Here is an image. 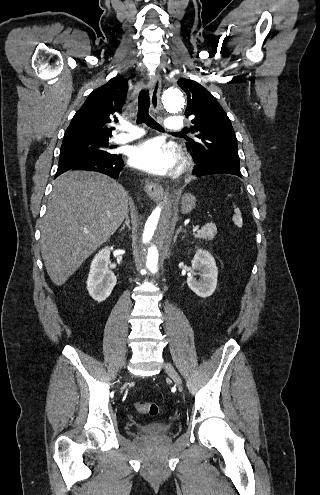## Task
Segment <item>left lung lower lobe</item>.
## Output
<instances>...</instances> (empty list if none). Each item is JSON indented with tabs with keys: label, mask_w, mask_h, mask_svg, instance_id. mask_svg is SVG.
Listing matches in <instances>:
<instances>
[{
	"label": "left lung lower lobe",
	"mask_w": 320,
	"mask_h": 495,
	"mask_svg": "<svg viewBox=\"0 0 320 495\" xmlns=\"http://www.w3.org/2000/svg\"><path fill=\"white\" fill-rule=\"evenodd\" d=\"M192 157L197 163V166L193 169V175H196L197 177L220 173L233 174L238 177H242L240 168H234L226 165H210L198 156Z\"/></svg>",
	"instance_id": "1"
}]
</instances>
